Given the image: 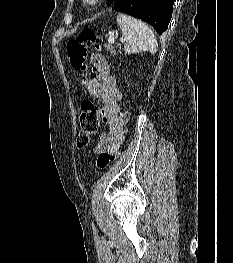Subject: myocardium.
I'll list each match as a JSON object with an SVG mask.
<instances>
[{
    "mask_svg": "<svg viewBox=\"0 0 233 263\" xmlns=\"http://www.w3.org/2000/svg\"><path fill=\"white\" fill-rule=\"evenodd\" d=\"M102 0H83V3L88 8H95L97 7Z\"/></svg>",
    "mask_w": 233,
    "mask_h": 263,
    "instance_id": "f54148a6",
    "label": "myocardium"
}]
</instances>
